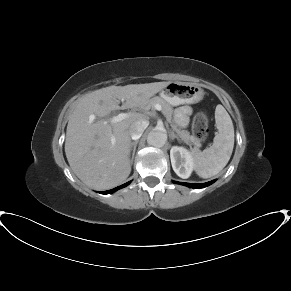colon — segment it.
I'll return each mask as SVG.
<instances>
[{"label":"colon","instance_id":"1","mask_svg":"<svg viewBox=\"0 0 291 291\" xmlns=\"http://www.w3.org/2000/svg\"><path fill=\"white\" fill-rule=\"evenodd\" d=\"M208 125L209 120L205 113L199 112L196 114L193 120V133L199 141H204L207 138Z\"/></svg>","mask_w":291,"mask_h":291}]
</instances>
